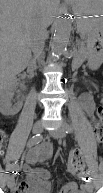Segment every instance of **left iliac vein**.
I'll return each instance as SVG.
<instances>
[{
  "label": "left iliac vein",
  "instance_id": "obj_1",
  "mask_svg": "<svg viewBox=\"0 0 103 193\" xmlns=\"http://www.w3.org/2000/svg\"><path fill=\"white\" fill-rule=\"evenodd\" d=\"M50 134L57 139L63 138L65 136V129H64V127H60L56 130L51 131ZM87 186H88L89 190H92L93 186L91 183H88Z\"/></svg>",
  "mask_w": 103,
  "mask_h": 193
}]
</instances>
